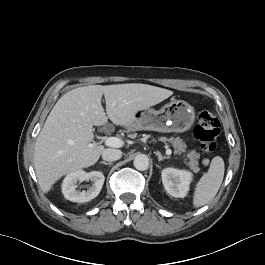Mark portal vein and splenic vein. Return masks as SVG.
<instances>
[{
    "label": "portal vein and splenic vein",
    "mask_w": 265,
    "mask_h": 265,
    "mask_svg": "<svg viewBox=\"0 0 265 265\" xmlns=\"http://www.w3.org/2000/svg\"><path fill=\"white\" fill-rule=\"evenodd\" d=\"M104 143L106 146L113 147V148H120L124 145V142L120 138H117V137H106L104 138ZM95 145H97V143L90 144L91 147ZM171 153H172L171 149L168 148L166 150V154L171 155Z\"/></svg>",
    "instance_id": "18ae733b"
}]
</instances>
